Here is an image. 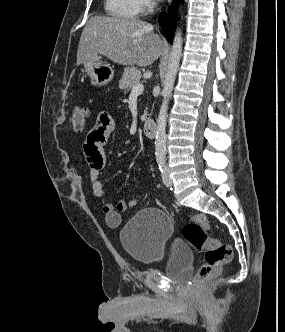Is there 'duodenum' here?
Wrapping results in <instances>:
<instances>
[{
    "mask_svg": "<svg viewBox=\"0 0 285 332\" xmlns=\"http://www.w3.org/2000/svg\"><path fill=\"white\" fill-rule=\"evenodd\" d=\"M143 133L146 137L148 138H154L155 133H156V125L153 120H146L143 123Z\"/></svg>",
    "mask_w": 285,
    "mask_h": 332,
    "instance_id": "1",
    "label": "duodenum"
}]
</instances>
